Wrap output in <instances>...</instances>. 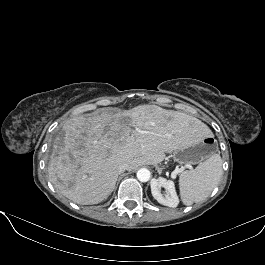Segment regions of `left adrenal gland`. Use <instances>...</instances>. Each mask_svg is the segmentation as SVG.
<instances>
[{
    "label": "left adrenal gland",
    "mask_w": 265,
    "mask_h": 265,
    "mask_svg": "<svg viewBox=\"0 0 265 265\" xmlns=\"http://www.w3.org/2000/svg\"><path fill=\"white\" fill-rule=\"evenodd\" d=\"M161 170H162V169H158L159 174H161Z\"/></svg>",
    "instance_id": "obj_1"
}]
</instances>
